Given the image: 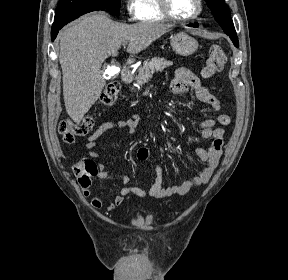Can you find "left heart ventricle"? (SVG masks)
<instances>
[{"instance_id": "obj_1", "label": "left heart ventricle", "mask_w": 288, "mask_h": 280, "mask_svg": "<svg viewBox=\"0 0 288 280\" xmlns=\"http://www.w3.org/2000/svg\"><path fill=\"white\" fill-rule=\"evenodd\" d=\"M170 8L177 17H188L197 9V0H169Z\"/></svg>"}]
</instances>
